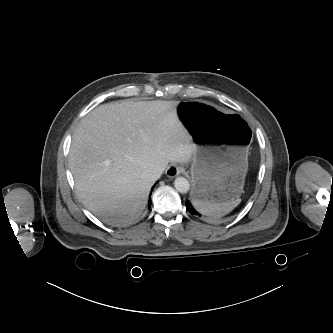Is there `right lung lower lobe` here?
<instances>
[{"mask_svg": "<svg viewBox=\"0 0 333 333\" xmlns=\"http://www.w3.org/2000/svg\"><path fill=\"white\" fill-rule=\"evenodd\" d=\"M154 186L152 187V190H153ZM150 203H151V200L149 199V208H150Z\"/></svg>", "mask_w": 333, "mask_h": 333, "instance_id": "98d812e1", "label": "right lung lower lobe"}]
</instances>
